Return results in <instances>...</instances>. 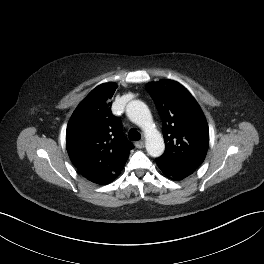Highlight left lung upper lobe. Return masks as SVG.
<instances>
[{
	"label": "left lung upper lobe",
	"instance_id": "obj_1",
	"mask_svg": "<svg viewBox=\"0 0 264 264\" xmlns=\"http://www.w3.org/2000/svg\"><path fill=\"white\" fill-rule=\"evenodd\" d=\"M146 89L163 121L166 148L157 159L195 171L209 146V129L200 106L181 84L172 80L148 83Z\"/></svg>",
	"mask_w": 264,
	"mask_h": 264
}]
</instances>
